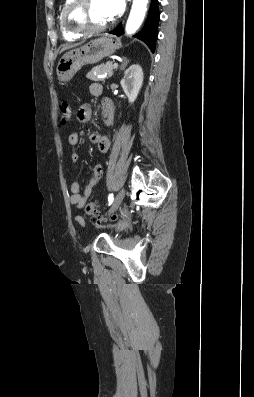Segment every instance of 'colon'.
Masks as SVG:
<instances>
[{"label": "colon", "instance_id": "1", "mask_svg": "<svg viewBox=\"0 0 254 397\" xmlns=\"http://www.w3.org/2000/svg\"><path fill=\"white\" fill-rule=\"evenodd\" d=\"M73 114V107L70 102L68 101H63L59 107V115L61 119V123L65 124L70 120ZM86 214L92 218V219H98L99 218V211H98V205L96 202H90L86 206Z\"/></svg>", "mask_w": 254, "mask_h": 397}]
</instances>
